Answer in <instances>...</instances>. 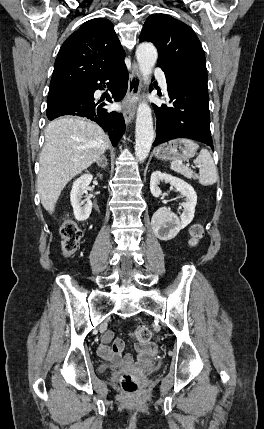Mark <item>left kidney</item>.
<instances>
[{
    "instance_id": "5707ae66",
    "label": "left kidney",
    "mask_w": 264,
    "mask_h": 429,
    "mask_svg": "<svg viewBox=\"0 0 264 429\" xmlns=\"http://www.w3.org/2000/svg\"><path fill=\"white\" fill-rule=\"evenodd\" d=\"M160 181L170 183L186 199L182 203L184 208L180 218L166 207L159 208L152 216L151 226L154 234L160 240H171L184 229L194 218L197 194L194 188L184 180L174 177L161 171H154L150 179V191L154 197H159L162 193L159 188Z\"/></svg>"
}]
</instances>
